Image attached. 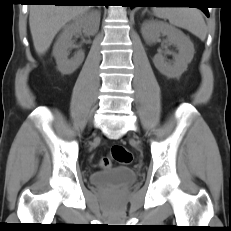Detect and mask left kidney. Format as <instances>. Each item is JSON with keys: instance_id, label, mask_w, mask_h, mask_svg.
<instances>
[{"instance_id": "left-kidney-1", "label": "left kidney", "mask_w": 231, "mask_h": 231, "mask_svg": "<svg viewBox=\"0 0 231 231\" xmlns=\"http://www.w3.org/2000/svg\"><path fill=\"white\" fill-rule=\"evenodd\" d=\"M142 36L146 43L152 44L159 40L161 35L167 37L168 41L175 45L178 54L175 55L172 63L166 62L161 54L154 56L155 67L168 78H178L186 71L188 64L194 56V45L182 31L164 23L155 21H145L141 28Z\"/></svg>"}]
</instances>
